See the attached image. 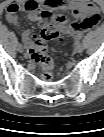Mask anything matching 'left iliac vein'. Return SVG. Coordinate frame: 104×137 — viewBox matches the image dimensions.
<instances>
[{"mask_svg":"<svg viewBox=\"0 0 104 137\" xmlns=\"http://www.w3.org/2000/svg\"><path fill=\"white\" fill-rule=\"evenodd\" d=\"M83 45L81 43H76L75 45V51L78 53H81L83 51Z\"/></svg>","mask_w":104,"mask_h":137,"instance_id":"4c4485c4","label":"left iliac vein"}]
</instances>
